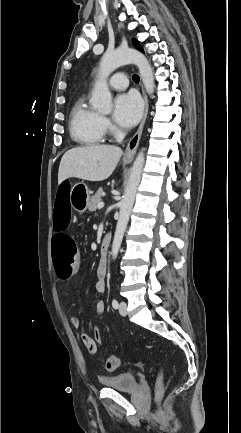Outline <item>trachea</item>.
Wrapping results in <instances>:
<instances>
[{
  "label": "trachea",
  "instance_id": "trachea-1",
  "mask_svg": "<svg viewBox=\"0 0 241 433\" xmlns=\"http://www.w3.org/2000/svg\"><path fill=\"white\" fill-rule=\"evenodd\" d=\"M133 80H134L136 83H139L140 78H139L138 75L134 74V75H133Z\"/></svg>",
  "mask_w": 241,
  "mask_h": 433
}]
</instances>
